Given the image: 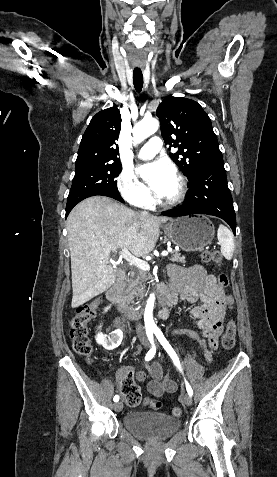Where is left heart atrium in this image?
I'll return each instance as SVG.
<instances>
[{"mask_svg": "<svg viewBox=\"0 0 277 477\" xmlns=\"http://www.w3.org/2000/svg\"><path fill=\"white\" fill-rule=\"evenodd\" d=\"M140 174L147 177L150 189L160 198L167 195L176 179L174 168L164 160L141 167Z\"/></svg>", "mask_w": 277, "mask_h": 477, "instance_id": "1", "label": "left heart atrium"}]
</instances>
